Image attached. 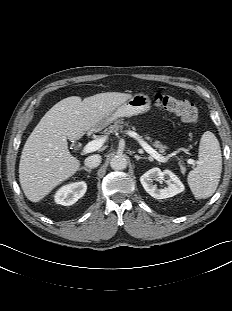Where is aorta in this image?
<instances>
[{"instance_id":"1","label":"aorta","mask_w":232,"mask_h":311,"mask_svg":"<svg viewBox=\"0 0 232 311\" xmlns=\"http://www.w3.org/2000/svg\"><path fill=\"white\" fill-rule=\"evenodd\" d=\"M127 159L124 155H115L111 161L110 166L113 170H123L127 167Z\"/></svg>"}]
</instances>
